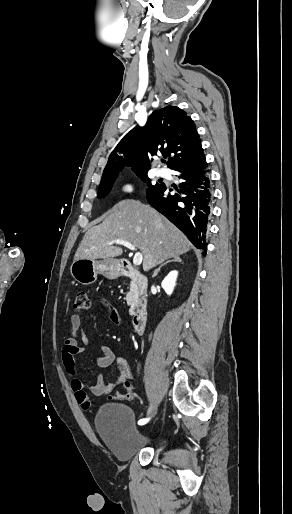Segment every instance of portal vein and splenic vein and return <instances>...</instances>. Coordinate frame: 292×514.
I'll return each mask as SVG.
<instances>
[{"instance_id":"18ae733b","label":"portal vein and splenic vein","mask_w":292,"mask_h":514,"mask_svg":"<svg viewBox=\"0 0 292 514\" xmlns=\"http://www.w3.org/2000/svg\"><path fill=\"white\" fill-rule=\"evenodd\" d=\"M109 244H122V246L129 248V250H136L135 246H132V244H129V242H125V240H114V242H109ZM142 260V254H140V252H136L133 258V264H135V266H140Z\"/></svg>"}]
</instances>
